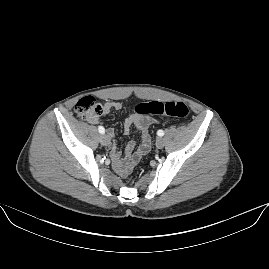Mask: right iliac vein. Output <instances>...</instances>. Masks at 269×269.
I'll use <instances>...</instances> for the list:
<instances>
[{
    "mask_svg": "<svg viewBox=\"0 0 269 269\" xmlns=\"http://www.w3.org/2000/svg\"><path fill=\"white\" fill-rule=\"evenodd\" d=\"M100 143L102 144V145H104V146H107V145H109L110 144V137H109V135L108 134H102L101 136H100Z\"/></svg>",
    "mask_w": 269,
    "mask_h": 269,
    "instance_id": "63e3f726",
    "label": "right iliac vein"
}]
</instances>
